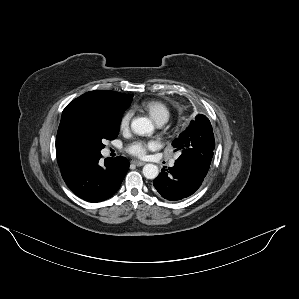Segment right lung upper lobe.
Segmentation results:
<instances>
[{
	"instance_id": "right-lung-upper-lobe-1",
	"label": "right lung upper lobe",
	"mask_w": 299,
	"mask_h": 299,
	"mask_svg": "<svg viewBox=\"0 0 299 299\" xmlns=\"http://www.w3.org/2000/svg\"><path fill=\"white\" fill-rule=\"evenodd\" d=\"M132 97V95L118 92L95 90L87 92L70 102L62 112L56 137V156L60 168L69 165L86 154L76 146L69 133L70 119L77 110L91 107L106 112H115L126 103H130Z\"/></svg>"
}]
</instances>
